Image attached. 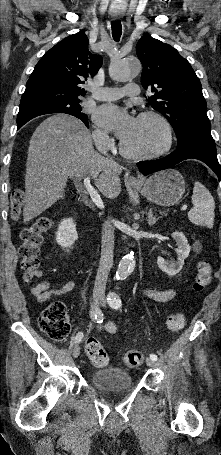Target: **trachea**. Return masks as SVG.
<instances>
[{"label":"trachea","instance_id":"1","mask_svg":"<svg viewBox=\"0 0 221 455\" xmlns=\"http://www.w3.org/2000/svg\"><path fill=\"white\" fill-rule=\"evenodd\" d=\"M112 36L115 41H119L122 34V25L120 21H113L111 23Z\"/></svg>","mask_w":221,"mask_h":455}]
</instances>
